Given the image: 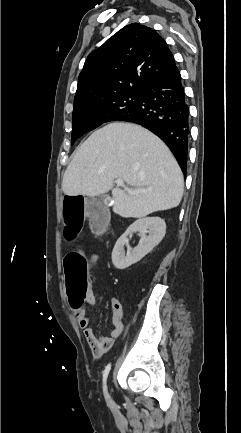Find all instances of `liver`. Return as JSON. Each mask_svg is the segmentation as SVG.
<instances>
[{
	"mask_svg": "<svg viewBox=\"0 0 241 433\" xmlns=\"http://www.w3.org/2000/svg\"><path fill=\"white\" fill-rule=\"evenodd\" d=\"M122 179L135 194L114 187ZM68 196H98L112 191L113 212L141 218L177 207L184 180L174 156L156 135L131 124L110 123L90 135L75 151L62 180Z\"/></svg>",
	"mask_w": 241,
	"mask_h": 433,
	"instance_id": "obj_1",
	"label": "liver"
}]
</instances>
